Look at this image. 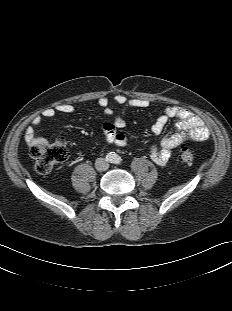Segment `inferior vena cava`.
Returning <instances> with one entry per match:
<instances>
[{
	"label": "inferior vena cava",
	"instance_id": "602c4592",
	"mask_svg": "<svg viewBox=\"0 0 232 311\" xmlns=\"http://www.w3.org/2000/svg\"><path fill=\"white\" fill-rule=\"evenodd\" d=\"M95 168L98 171H106L109 168V163L105 158H97L95 161Z\"/></svg>",
	"mask_w": 232,
	"mask_h": 311
}]
</instances>
